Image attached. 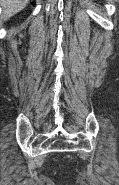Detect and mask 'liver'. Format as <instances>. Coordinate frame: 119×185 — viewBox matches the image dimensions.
<instances>
[{
    "label": "liver",
    "mask_w": 119,
    "mask_h": 185,
    "mask_svg": "<svg viewBox=\"0 0 119 185\" xmlns=\"http://www.w3.org/2000/svg\"><path fill=\"white\" fill-rule=\"evenodd\" d=\"M30 0H0L3 7V19L8 20L10 17L23 10Z\"/></svg>",
    "instance_id": "obj_1"
}]
</instances>
